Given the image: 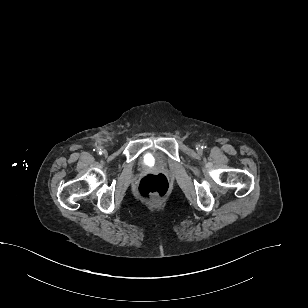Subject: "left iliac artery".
I'll return each instance as SVG.
<instances>
[{"label": "left iliac artery", "instance_id": "44dca946", "mask_svg": "<svg viewBox=\"0 0 308 308\" xmlns=\"http://www.w3.org/2000/svg\"><path fill=\"white\" fill-rule=\"evenodd\" d=\"M201 148H202V149H203V148H206V146H202Z\"/></svg>", "mask_w": 308, "mask_h": 308}]
</instances>
